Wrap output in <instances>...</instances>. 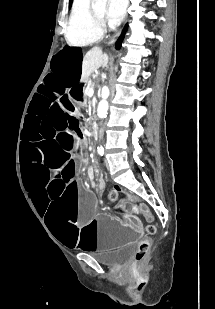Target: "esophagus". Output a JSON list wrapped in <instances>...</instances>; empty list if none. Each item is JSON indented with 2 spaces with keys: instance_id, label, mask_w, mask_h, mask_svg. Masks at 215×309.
I'll return each mask as SVG.
<instances>
[{
  "instance_id": "esophagus-1",
  "label": "esophagus",
  "mask_w": 215,
  "mask_h": 309,
  "mask_svg": "<svg viewBox=\"0 0 215 309\" xmlns=\"http://www.w3.org/2000/svg\"><path fill=\"white\" fill-rule=\"evenodd\" d=\"M119 35H120V32H117V33L111 38L110 43H111V44L114 43V42L117 40V38L119 37Z\"/></svg>"
}]
</instances>
